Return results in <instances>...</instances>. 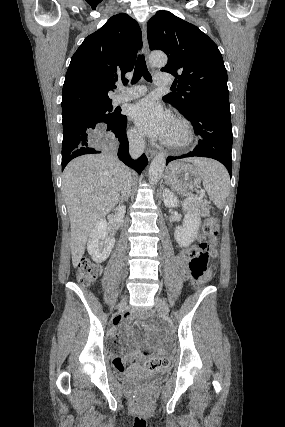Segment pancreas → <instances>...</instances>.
<instances>
[{"instance_id":"pancreas-1","label":"pancreas","mask_w":285,"mask_h":427,"mask_svg":"<svg viewBox=\"0 0 285 427\" xmlns=\"http://www.w3.org/2000/svg\"><path fill=\"white\" fill-rule=\"evenodd\" d=\"M188 205L191 210L200 213L202 216H209V209L203 200L198 199L194 201H189Z\"/></svg>"}]
</instances>
